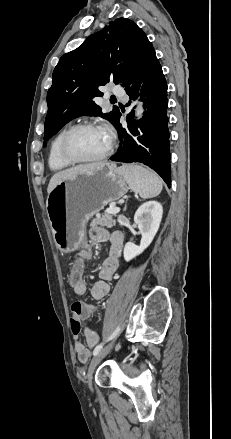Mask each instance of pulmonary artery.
Instances as JSON below:
<instances>
[{"instance_id":"obj_1","label":"pulmonary artery","mask_w":231,"mask_h":439,"mask_svg":"<svg viewBox=\"0 0 231 439\" xmlns=\"http://www.w3.org/2000/svg\"><path fill=\"white\" fill-rule=\"evenodd\" d=\"M111 92L113 94H116V95H119V96H123L124 95V91L121 88H119V87H113L111 89Z\"/></svg>"}]
</instances>
